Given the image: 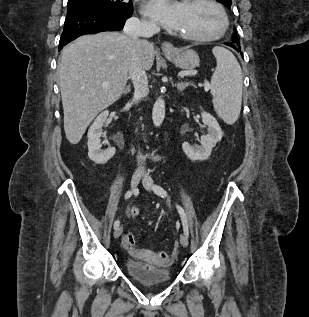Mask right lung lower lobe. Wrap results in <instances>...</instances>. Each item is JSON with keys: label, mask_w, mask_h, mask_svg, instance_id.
<instances>
[{"label": "right lung lower lobe", "mask_w": 309, "mask_h": 317, "mask_svg": "<svg viewBox=\"0 0 309 317\" xmlns=\"http://www.w3.org/2000/svg\"><path fill=\"white\" fill-rule=\"evenodd\" d=\"M132 13H120L112 10L95 8H68L65 26L60 38L58 51L67 43L85 34L102 31H118Z\"/></svg>", "instance_id": "right-lung-lower-lobe-1"}]
</instances>
